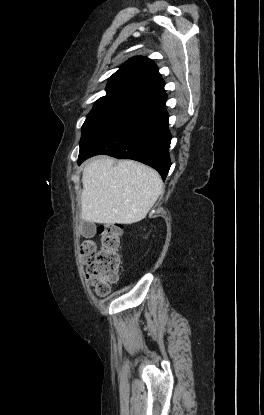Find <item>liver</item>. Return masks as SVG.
<instances>
[{
	"label": "liver",
	"instance_id": "6515ba94",
	"mask_svg": "<svg viewBox=\"0 0 264 415\" xmlns=\"http://www.w3.org/2000/svg\"><path fill=\"white\" fill-rule=\"evenodd\" d=\"M81 218L99 224L143 220L162 193L159 173L133 160L110 157L87 163L82 174Z\"/></svg>",
	"mask_w": 264,
	"mask_h": 415
}]
</instances>
